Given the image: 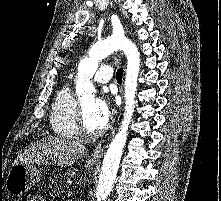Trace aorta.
Here are the masks:
<instances>
[{
  "mask_svg": "<svg viewBox=\"0 0 221 201\" xmlns=\"http://www.w3.org/2000/svg\"><path fill=\"white\" fill-rule=\"evenodd\" d=\"M117 50H122L127 57L125 112L120 129L110 143L103 159L96 190L97 201H105L110 194L127 141L128 128L134 112L137 81L140 71V54L137 47L126 37L116 35L96 42L89 50V57L80 62L76 82V93L78 96H85L91 90L93 91L90 79L98 68V62Z\"/></svg>",
  "mask_w": 221,
  "mask_h": 201,
  "instance_id": "aorta-1",
  "label": "aorta"
}]
</instances>
